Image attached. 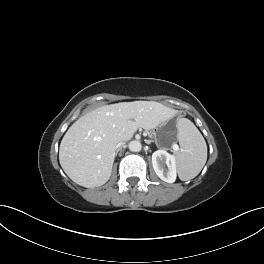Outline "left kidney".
Wrapping results in <instances>:
<instances>
[{"mask_svg":"<svg viewBox=\"0 0 264 264\" xmlns=\"http://www.w3.org/2000/svg\"><path fill=\"white\" fill-rule=\"evenodd\" d=\"M152 164L157 176L168 183L176 180V159L165 150H157L152 154ZM167 166V168L165 167Z\"/></svg>","mask_w":264,"mask_h":264,"instance_id":"obj_1","label":"left kidney"}]
</instances>
